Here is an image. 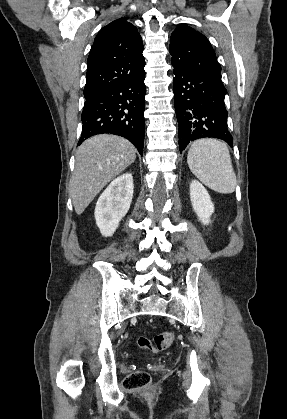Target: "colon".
<instances>
[{
	"mask_svg": "<svg viewBox=\"0 0 287 419\" xmlns=\"http://www.w3.org/2000/svg\"><path fill=\"white\" fill-rule=\"evenodd\" d=\"M174 340V333L171 331H166L156 335L153 339L144 336L138 337L137 347L140 353L145 351L157 353L170 347ZM149 382V374L145 371L138 370L125 378L123 386L127 390H132L146 387Z\"/></svg>",
	"mask_w": 287,
	"mask_h": 419,
	"instance_id": "colon-1",
	"label": "colon"
}]
</instances>
